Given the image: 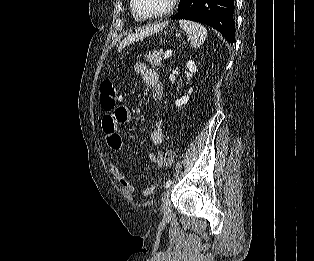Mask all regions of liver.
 I'll return each mask as SVG.
<instances>
[{
	"label": "liver",
	"instance_id": "obj_1",
	"mask_svg": "<svg viewBox=\"0 0 314 261\" xmlns=\"http://www.w3.org/2000/svg\"><path fill=\"white\" fill-rule=\"evenodd\" d=\"M149 34V30H143L140 33H136V34H131L129 36H127L124 40H122V42L120 43L119 47H118V52H121L127 45H129L130 43L137 41L139 39L144 38L145 36H147Z\"/></svg>",
	"mask_w": 314,
	"mask_h": 261
}]
</instances>
